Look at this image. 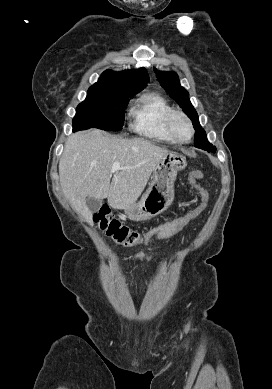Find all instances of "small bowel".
Segmentation results:
<instances>
[{
  "instance_id": "small-bowel-1",
  "label": "small bowel",
  "mask_w": 272,
  "mask_h": 389,
  "mask_svg": "<svg viewBox=\"0 0 272 389\" xmlns=\"http://www.w3.org/2000/svg\"><path fill=\"white\" fill-rule=\"evenodd\" d=\"M149 258L150 257L148 255L141 252L132 256L133 260H149Z\"/></svg>"
}]
</instances>
